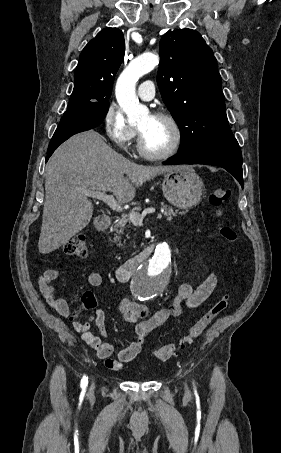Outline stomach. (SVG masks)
Instances as JSON below:
<instances>
[{
  "mask_svg": "<svg viewBox=\"0 0 281 453\" xmlns=\"http://www.w3.org/2000/svg\"><path fill=\"white\" fill-rule=\"evenodd\" d=\"M162 190L170 204L178 208H193L204 194V184L192 166H181L164 174Z\"/></svg>",
  "mask_w": 281,
  "mask_h": 453,
  "instance_id": "1",
  "label": "stomach"
}]
</instances>
